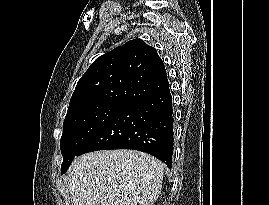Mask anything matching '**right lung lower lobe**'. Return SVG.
Segmentation results:
<instances>
[{
  "label": "right lung lower lobe",
  "instance_id": "right-lung-lower-lobe-1",
  "mask_svg": "<svg viewBox=\"0 0 269 205\" xmlns=\"http://www.w3.org/2000/svg\"><path fill=\"white\" fill-rule=\"evenodd\" d=\"M173 109L170 90L144 98L114 116L82 148L79 155L111 149H133L172 167Z\"/></svg>",
  "mask_w": 269,
  "mask_h": 205
}]
</instances>
